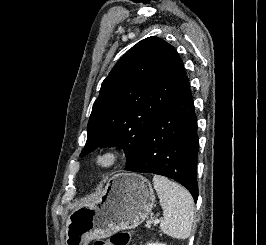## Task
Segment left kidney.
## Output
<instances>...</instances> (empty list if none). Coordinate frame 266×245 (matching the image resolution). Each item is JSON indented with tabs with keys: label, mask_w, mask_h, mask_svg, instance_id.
I'll return each instance as SVG.
<instances>
[{
	"label": "left kidney",
	"mask_w": 266,
	"mask_h": 245,
	"mask_svg": "<svg viewBox=\"0 0 266 245\" xmlns=\"http://www.w3.org/2000/svg\"><path fill=\"white\" fill-rule=\"evenodd\" d=\"M147 245H162V243H147Z\"/></svg>",
	"instance_id": "obj_1"
}]
</instances>
